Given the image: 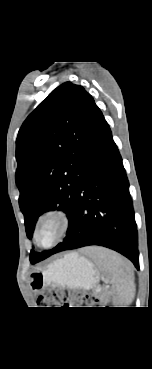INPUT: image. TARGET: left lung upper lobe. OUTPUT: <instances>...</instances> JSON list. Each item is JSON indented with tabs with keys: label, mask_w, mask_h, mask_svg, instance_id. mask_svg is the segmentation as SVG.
Segmentation results:
<instances>
[{
	"label": "left lung upper lobe",
	"mask_w": 152,
	"mask_h": 369,
	"mask_svg": "<svg viewBox=\"0 0 152 369\" xmlns=\"http://www.w3.org/2000/svg\"><path fill=\"white\" fill-rule=\"evenodd\" d=\"M92 96L65 82L27 117L16 140V184L28 238L46 211L67 213L70 231L76 217V192L83 177L82 158L100 114ZM31 251L35 264L59 248Z\"/></svg>",
	"instance_id": "5c2ea615"
}]
</instances>
